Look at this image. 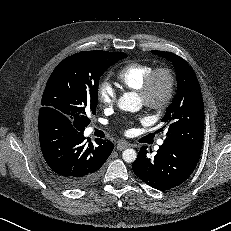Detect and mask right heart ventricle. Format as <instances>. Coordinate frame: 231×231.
I'll use <instances>...</instances> for the list:
<instances>
[{
	"label": "right heart ventricle",
	"mask_w": 231,
	"mask_h": 231,
	"mask_svg": "<svg viewBox=\"0 0 231 231\" xmlns=\"http://www.w3.org/2000/svg\"><path fill=\"white\" fill-rule=\"evenodd\" d=\"M153 69V65L150 63L131 62L117 72L116 80L120 87L138 91Z\"/></svg>",
	"instance_id": "right-heart-ventricle-1"
}]
</instances>
